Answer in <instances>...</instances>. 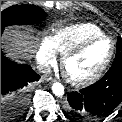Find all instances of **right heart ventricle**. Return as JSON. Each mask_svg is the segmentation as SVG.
<instances>
[{"label":"right heart ventricle","mask_w":122,"mask_h":122,"mask_svg":"<svg viewBox=\"0 0 122 122\" xmlns=\"http://www.w3.org/2000/svg\"><path fill=\"white\" fill-rule=\"evenodd\" d=\"M102 35L104 33L96 25L78 23L56 30L51 38L57 52L63 55L83 41Z\"/></svg>","instance_id":"obj_1"}]
</instances>
